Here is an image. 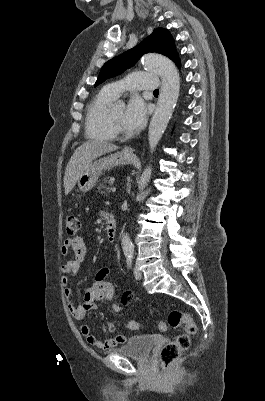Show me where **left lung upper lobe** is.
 I'll return each instance as SVG.
<instances>
[{"mask_svg":"<svg viewBox=\"0 0 265 401\" xmlns=\"http://www.w3.org/2000/svg\"><path fill=\"white\" fill-rule=\"evenodd\" d=\"M156 52L167 56L176 64L179 63L174 41L168 30L157 28L139 45L123 54L107 61L102 67L95 86L104 82L107 78L114 77L131 67L145 53Z\"/></svg>","mask_w":265,"mask_h":401,"instance_id":"left-lung-upper-lobe-1","label":"left lung upper lobe"}]
</instances>
